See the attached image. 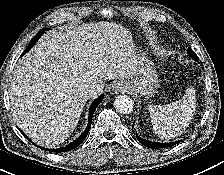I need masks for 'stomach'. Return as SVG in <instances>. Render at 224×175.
<instances>
[{
	"label": "stomach",
	"instance_id": "1",
	"mask_svg": "<svg viewBox=\"0 0 224 175\" xmlns=\"http://www.w3.org/2000/svg\"><path fill=\"white\" fill-rule=\"evenodd\" d=\"M136 66V75L131 80H127L128 88L140 96L149 98L157 92L159 86L154 63L144 51L138 50L136 54Z\"/></svg>",
	"mask_w": 224,
	"mask_h": 175
}]
</instances>
